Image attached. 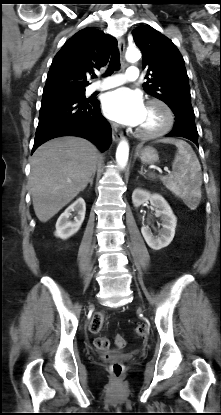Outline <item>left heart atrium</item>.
Masks as SVG:
<instances>
[{
	"label": "left heart atrium",
	"instance_id": "1",
	"mask_svg": "<svg viewBox=\"0 0 221 415\" xmlns=\"http://www.w3.org/2000/svg\"><path fill=\"white\" fill-rule=\"evenodd\" d=\"M102 109L105 116L112 121L138 126L144 114L145 104L140 92L119 88L105 94Z\"/></svg>",
	"mask_w": 221,
	"mask_h": 415
}]
</instances>
